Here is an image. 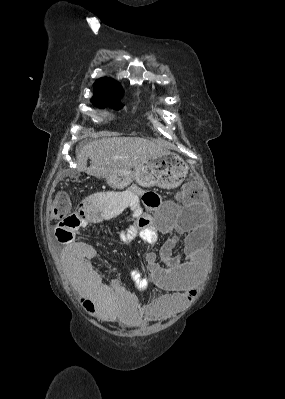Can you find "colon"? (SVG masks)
I'll list each match as a JSON object with an SVG mask.
<instances>
[{
    "label": "colon",
    "mask_w": 285,
    "mask_h": 399,
    "mask_svg": "<svg viewBox=\"0 0 285 399\" xmlns=\"http://www.w3.org/2000/svg\"><path fill=\"white\" fill-rule=\"evenodd\" d=\"M200 180L193 177L189 179L184 187L185 193H191L196 191L200 187ZM143 203L150 208L157 207L159 205V196L155 193H147L142 198ZM70 201L68 193L65 190H61L54 194L48 202V208L50 216L55 221H62V224L79 223L81 219L75 214H69ZM146 221L143 217L136 219L129 227L124 231L116 234L118 239L125 242H132L135 238L141 235V231ZM60 239L63 242H78V238L75 236L73 231L60 230Z\"/></svg>",
    "instance_id": "5ec220e1"
}]
</instances>
